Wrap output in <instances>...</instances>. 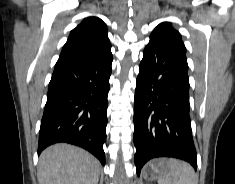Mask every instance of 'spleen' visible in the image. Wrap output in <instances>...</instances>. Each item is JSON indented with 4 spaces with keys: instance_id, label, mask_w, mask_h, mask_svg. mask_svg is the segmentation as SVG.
Wrapping results in <instances>:
<instances>
[{
    "instance_id": "3e777b00",
    "label": "spleen",
    "mask_w": 235,
    "mask_h": 184,
    "mask_svg": "<svg viewBox=\"0 0 235 184\" xmlns=\"http://www.w3.org/2000/svg\"><path fill=\"white\" fill-rule=\"evenodd\" d=\"M166 168L157 178L158 184H198V178L190 164L174 158H165Z\"/></svg>"
}]
</instances>
